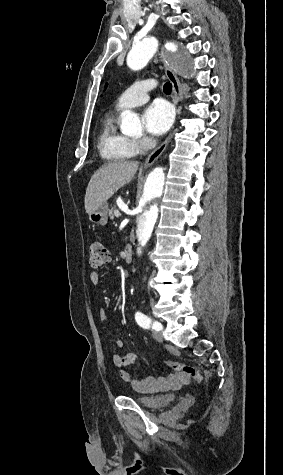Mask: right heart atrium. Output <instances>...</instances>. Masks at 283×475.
Listing matches in <instances>:
<instances>
[{
	"label": "right heart atrium",
	"instance_id": "d8ad5b80",
	"mask_svg": "<svg viewBox=\"0 0 283 475\" xmlns=\"http://www.w3.org/2000/svg\"><path fill=\"white\" fill-rule=\"evenodd\" d=\"M130 149L133 154H143L150 147V140L146 137L130 140Z\"/></svg>",
	"mask_w": 283,
	"mask_h": 475
}]
</instances>
